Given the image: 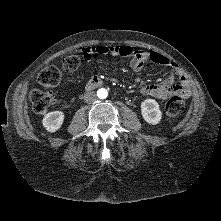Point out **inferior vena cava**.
I'll list each match as a JSON object with an SVG mask.
<instances>
[{"instance_id": "obj_1", "label": "inferior vena cava", "mask_w": 221, "mask_h": 221, "mask_svg": "<svg viewBox=\"0 0 221 221\" xmlns=\"http://www.w3.org/2000/svg\"><path fill=\"white\" fill-rule=\"evenodd\" d=\"M84 101L86 103H93L97 101V95L94 91L86 92L84 94Z\"/></svg>"}]
</instances>
